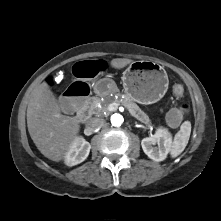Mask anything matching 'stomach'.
Listing matches in <instances>:
<instances>
[{
  "label": "stomach",
  "instance_id": "stomach-1",
  "mask_svg": "<svg viewBox=\"0 0 221 221\" xmlns=\"http://www.w3.org/2000/svg\"><path fill=\"white\" fill-rule=\"evenodd\" d=\"M122 81L126 95L144 105L159 101L169 84L164 68L147 60L132 62L123 72Z\"/></svg>",
  "mask_w": 221,
  "mask_h": 221
}]
</instances>
